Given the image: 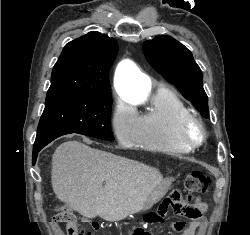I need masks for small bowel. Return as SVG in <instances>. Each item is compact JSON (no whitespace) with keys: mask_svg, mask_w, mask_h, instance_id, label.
<instances>
[{"mask_svg":"<svg viewBox=\"0 0 250 235\" xmlns=\"http://www.w3.org/2000/svg\"><path fill=\"white\" fill-rule=\"evenodd\" d=\"M171 207V202H165L160 208V214L164 215ZM174 211L181 216H194L187 227H185L182 222H178L174 225V229L179 231L181 235H197L199 228L204 224L203 215L207 211V205L203 202H198L190 206L182 205L181 209ZM138 230L139 229L131 228L130 235H138Z\"/></svg>","mask_w":250,"mask_h":235,"instance_id":"c3829d8e","label":"small bowel"}]
</instances>
